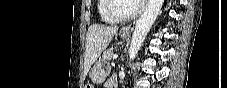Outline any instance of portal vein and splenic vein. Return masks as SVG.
Segmentation results:
<instances>
[{"mask_svg": "<svg viewBox=\"0 0 227 88\" xmlns=\"http://www.w3.org/2000/svg\"><path fill=\"white\" fill-rule=\"evenodd\" d=\"M113 59H117L118 58V55L117 54H115V55H113V57H112Z\"/></svg>", "mask_w": 227, "mask_h": 88, "instance_id": "18ae733b", "label": "portal vein and splenic vein"}]
</instances>
